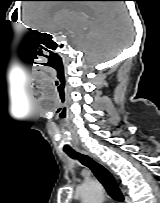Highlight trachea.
<instances>
[{
	"instance_id": "1",
	"label": "trachea",
	"mask_w": 160,
	"mask_h": 203,
	"mask_svg": "<svg viewBox=\"0 0 160 203\" xmlns=\"http://www.w3.org/2000/svg\"><path fill=\"white\" fill-rule=\"evenodd\" d=\"M65 153L73 159H78L84 166H87L94 173L96 178L106 189L107 193L116 201L123 202V194L118 187L112 174L101 164L94 161L91 157L81 155L73 150H64Z\"/></svg>"
}]
</instances>
